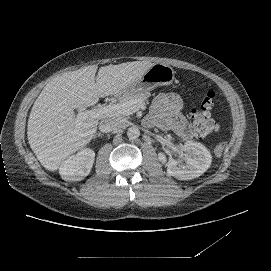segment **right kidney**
I'll return each instance as SVG.
<instances>
[{
    "instance_id": "ca27d5eb",
    "label": "right kidney",
    "mask_w": 271,
    "mask_h": 271,
    "mask_svg": "<svg viewBox=\"0 0 271 271\" xmlns=\"http://www.w3.org/2000/svg\"><path fill=\"white\" fill-rule=\"evenodd\" d=\"M94 159L95 152L85 148L63 161L59 167V174L65 181H81L90 173Z\"/></svg>"
}]
</instances>
